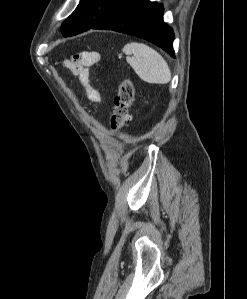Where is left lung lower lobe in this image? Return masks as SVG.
<instances>
[{
  "label": "left lung lower lobe",
  "instance_id": "1",
  "mask_svg": "<svg viewBox=\"0 0 247 299\" xmlns=\"http://www.w3.org/2000/svg\"><path fill=\"white\" fill-rule=\"evenodd\" d=\"M91 29L113 30L134 35L154 43L175 57L174 33L163 21L161 4L149 0H125Z\"/></svg>",
  "mask_w": 247,
  "mask_h": 299
}]
</instances>
